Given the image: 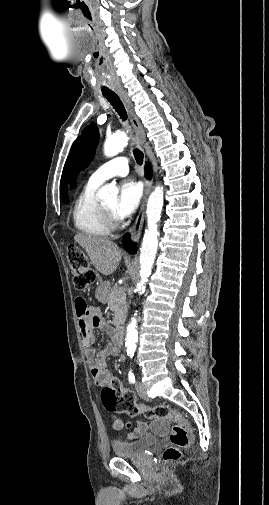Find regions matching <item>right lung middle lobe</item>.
<instances>
[{
	"label": "right lung middle lobe",
	"mask_w": 269,
	"mask_h": 505,
	"mask_svg": "<svg viewBox=\"0 0 269 505\" xmlns=\"http://www.w3.org/2000/svg\"><path fill=\"white\" fill-rule=\"evenodd\" d=\"M64 203L68 204L69 203V200H65Z\"/></svg>",
	"instance_id": "dd1d6c3e"
}]
</instances>
